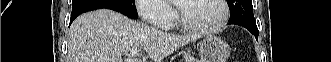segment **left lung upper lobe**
<instances>
[{
  "mask_svg": "<svg viewBox=\"0 0 331 62\" xmlns=\"http://www.w3.org/2000/svg\"><path fill=\"white\" fill-rule=\"evenodd\" d=\"M230 8L229 24L247 28L258 38V28L253 15L252 0H227Z\"/></svg>",
  "mask_w": 331,
  "mask_h": 62,
  "instance_id": "left-lung-upper-lobe-1",
  "label": "left lung upper lobe"
}]
</instances>
